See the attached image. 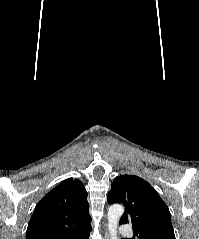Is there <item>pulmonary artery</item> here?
<instances>
[{
	"instance_id": "1",
	"label": "pulmonary artery",
	"mask_w": 199,
	"mask_h": 239,
	"mask_svg": "<svg viewBox=\"0 0 199 239\" xmlns=\"http://www.w3.org/2000/svg\"><path fill=\"white\" fill-rule=\"evenodd\" d=\"M120 233L123 237H132L134 235L132 228L127 224L121 226Z\"/></svg>"
}]
</instances>
